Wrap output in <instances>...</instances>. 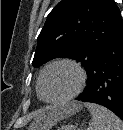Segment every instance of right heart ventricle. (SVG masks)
<instances>
[{"label":"right heart ventricle","instance_id":"1","mask_svg":"<svg viewBox=\"0 0 123 130\" xmlns=\"http://www.w3.org/2000/svg\"><path fill=\"white\" fill-rule=\"evenodd\" d=\"M37 91H38V82H37Z\"/></svg>","mask_w":123,"mask_h":130}]
</instances>
